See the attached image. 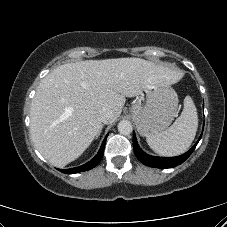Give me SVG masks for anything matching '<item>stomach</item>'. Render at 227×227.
Here are the masks:
<instances>
[{
	"label": "stomach",
	"mask_w": 227,
	"mask_h": 227,
	"mask_svg": "<svg viewBox=\"0 0 227 227\" xmlns=\"http://www.w3.org/2000/svg\"><path fill=\"white\" fill-rule=\"evenodd\" d=\"M177 106L178 96L174 89L157 83L141 91L130 108V116L140 135L148 137L172 123Z\"/></svg>",
	"instance_id": "obj_1"
}]
</instances>
